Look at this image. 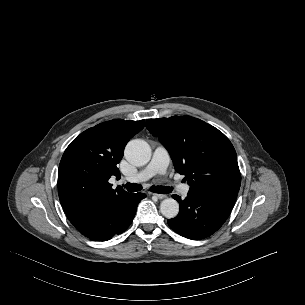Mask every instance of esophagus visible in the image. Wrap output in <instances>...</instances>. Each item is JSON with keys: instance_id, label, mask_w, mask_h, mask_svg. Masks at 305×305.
Segmentation results:
<instances>
[{"instance_id": "esophagus-1", "label": "esophagus", "mask_w": 305, "mask_h": 305, "mask_svg": "<svg viewBox=\"0 0 305 305\" xmlns=\"http://www.w3.org/2000/svg\"><path fill=\"white\" fill-rule=\"evenodd\" d=\"M153 195H154L155 197H157L158 199H164V198L167 197V196L164 195V194H157V193H154Z\"/></svg>"}]
</instances>
